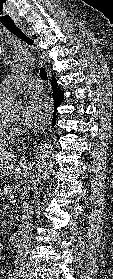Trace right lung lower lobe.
I'll return each mask as SVG.
<instances>
[{"instance_id": "obj_1", "label": "right lung lower lobe", "mask_w": 113, "mask_h": 279, "mask_svg": "<svg viewBox=\"0 0 113 279\" xmlns=\"http://www.w3.org/2000/svg\"><path fill=\"white\" fill-rule=\"evenodd\" d=\"M52 90H53V96H54V116L52 120V125L55 123L56 118V108L62 103V100L64 98L63 92L59 90L57 87L56 79L53 78L51 81Z\"/></svg>"}]
</instances>
